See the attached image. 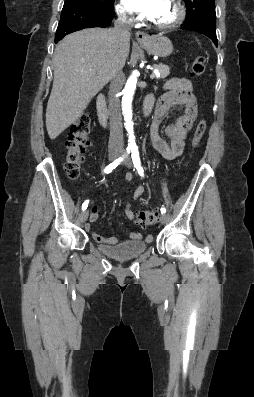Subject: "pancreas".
<instances>
[{
	"mask_svg": "<svg viewBox=\"0 0 254 397\" xmlns=\"http://www.w3.org/2000/svg\"><path fill=\"white\" fill-rule=\"evenodd\" d=\"M156 68L159 72V76L157 79H164L170 74V68L167 65L158 64L156 65Z\"/></svg>",
	"mask_w": 254,
	"mask_h": 397,
	"instance_id": "pancreas-1",
	"label": "pancreas"
}]
</instances>
